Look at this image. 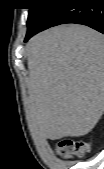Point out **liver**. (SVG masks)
I'll list each match as a JSON object with an SVG mask.
<instances>
[{
    "mask_svg": "<svg viewBox=\"0 0 104 169\" xmlns=\"http://www.w3.org/2000/svg\"><path fill=\"white\" fill-rule=\"evenodd\" d=\"M26 50L35 134L52 140L88 134L104 111V36L60 25L34 36Z\"/></svg>",
    "mask_w": 104,
    "mask_h": 169,
    "instance_id": "6515ba94",
    "label": "liver"
}]
</instances>
